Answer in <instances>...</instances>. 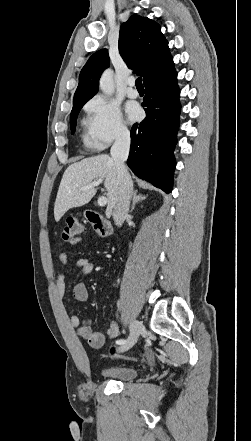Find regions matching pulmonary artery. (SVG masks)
I'll return each mask as SVG.
<instances>
[{
  "mask_svg": "<svg viewBox=\"0 0 251 441\" xmlns=\"http://www.w3.org/2000/svg\"><path fill=\"white\" fill-rule=\"evenodd\" d=\"M127 84H128L127 95H128L130 98H136V97H138V91H137V89H136V87H135V79L132 78V77L129 78Z\"/></svg>",
  "mask_w": 251,
  "mask_h": 441,
  "instance_id": "obj_1",
  "label": "pulmonary artery"
}]
</instances>
